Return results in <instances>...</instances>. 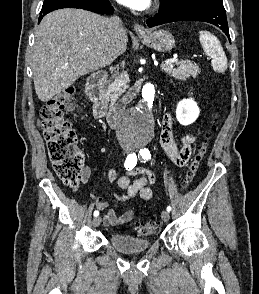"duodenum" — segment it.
Masks as SVG:
<instances>
[{
    "instance_id": "obj_1",
    "label": "duodenum",
    "mask_w": 259,
    "mask_h": 294,
    "mask_svg": "<svg viewBox=\"0 0 259 294\" xmlns=\"http://www.w3.org/2000/svg\"><path fill=\"white\" fill-rule=\"evenodd\" d=\"M107 77L104 71L93 73L87 80L86 92L94 105V115L97 119H106L112 128L119 125L120 113L118 109L109 107L108 95L104 89L103 83ZM141 88V82L135 84L131 89L130 96L135 95Z\"/></svg>"
}]
</instances>
